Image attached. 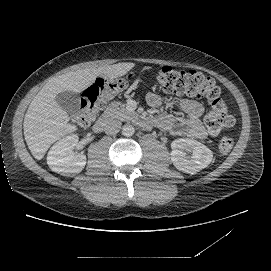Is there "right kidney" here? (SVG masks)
<instances>
[{
    "label": "right kidney",
    "mask_w": 271,
    "mask_h": 271,
    "mask_svg": "<svg viewBox=\"0 0 271 271\" xmlns=\"http://www.w3.org/2000/svg\"><path fill=\"white\" fill-rule=\"evenodd\" d=\"M78 141V135L71 134L51 147L47 155V164L52 171L63 176H73L83 170L86 165V156L73 151Z\"/></svg>",
    "instance_id": "right-kidney-1"
}]
</instances>
